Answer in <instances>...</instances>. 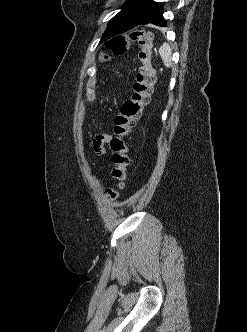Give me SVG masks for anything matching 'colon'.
Masks as SVG:
<instances>
[{
	"instance_id": "colon-1",
	"label": "colon",
	"mask_w": 247,
	"mask_h": 332,
	"mask_svg": "<svg viewBox=\"0 0 247 332\" xmlns=\"http://www.w3.org/2000/svg\"><path fill=\"white\" fill-rule=\"evenodd\" d=\"M152 40L151 32L140 28H132L126 34L112 38L107 48L114 55L123 54L130 42H137L140 46V69L133 85L132 96L123 102L120 113L115 117L114 137L110 141L112 149L113 168L111 176L115 185L107 187L105 193L109 199H116L119 192L124 189L129 166V148L127 137L132 133L143 108L149 103L155 83V70L152 65Z\"/></svg>"
}]
</instances>
